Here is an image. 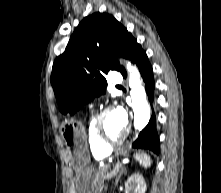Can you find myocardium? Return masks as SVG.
<instances>
[{
	"mask_svg": "<svg viewBox=\"0 0 221 193\" xmlns=\"http://www.w3.org/2000/svg\"><path fill=\"white\" fill-rule=\"evenodd\" d=\"M112 110L113 108L110 106L103 108L95 117V121H94V133H95L96 138L99 140L101 144H103L104 146L108 148H111L113 146H117L123 143V141L126 139L129 133V127L127 126L123 134L116 139H110L106 136L102 127V123H103V119L105 115Z\"/></svg>",
	"mask_w": 221,
	"mask_h": 193,
	"instance_id": "myocardium-1",
	"label": "myocardium"
}]
</instances>
